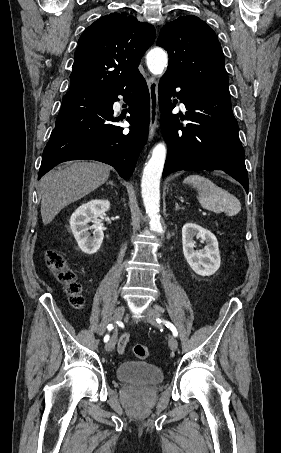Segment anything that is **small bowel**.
Here are the masks:
<instances>
[{
	"label": "small bowel",
	"mask_w": 281,
	"mask_h": 453,
	"mask_svg": "<svg viewBox=\"0 0 281 453\" xmlns=\"http://www.w3.org/2000/svg\"><path fill=\"white\" fill-rule=\"evenodd\" d=\"M127 338H128L127 334L122 335V337L119 340L118 346H117L119 350H124L125 349L126 344H127Z\"/></svg>",
	"instance_id": "obj_1"
}]
</instances>
